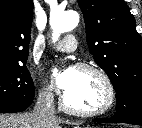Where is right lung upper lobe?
<instances>
[{
  "label": "right lung upper lobe",
  "instance_id": "right-lung-upper-lobe-1",
  "mask_svg": "<svg viewBox=\"0 0 142 128\" xmlns=\"http://www.w3.org/2000/svg\"><path fill=\"white\" fill-rule=\"evenodd\" d=\"M32 17V0L0 1V67L26 64Z\"/></svg>",
  "mask_w": 142,
  "mask_h": 128
}]
</instances>
